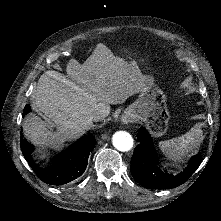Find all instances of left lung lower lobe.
Returning <instances> with one entry per match:
<instances>
[{
    "instance_id": "0a47b994",
    "label": "left lung lower lobe",
    "mask_w": 221,
    "mask_h": 221,
    "mask_svg": "<svg viewBox=\"0 0 221 221\" xmlns=\"http://www.w3.org/2000/svg\"><path fill=\"white\" fill-rule=\"evenodd\" d=\"M137 138L140 144L134 149L130 171L135 180L145 188H175L186 182L200 165L201 155L198 153L188 162V166L183 172L175 176L162 172L158 167L159 156L145 128L142 127L138 130Z\"/></svg>"
}]
</instances>
